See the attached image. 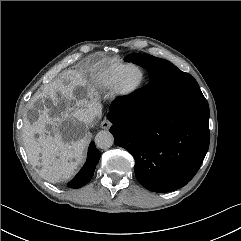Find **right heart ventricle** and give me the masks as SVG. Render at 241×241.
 <instances>
[{
  "label": "right heart ventricle",
  "instance_id": "e07e8e85",
  "mask_svg": "<svg viewBox=\"0 0 241 241\" xmlns=\"http://www.w3.org/2000/svg\"><path fill=\"white\" fill-rule=\"evenodd\" d=\"M127 65L122 62H108L96 67L92 75L94 83L102 89L112 88L116 76Z\"/></svg>",
  "mask_w": 241,
  "mask_h": 241
}]
</instances>
